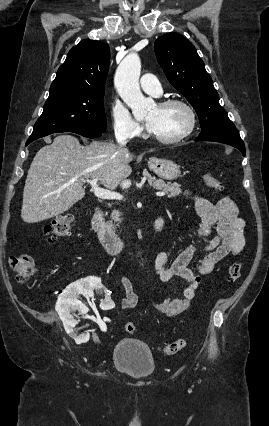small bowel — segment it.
Here are the masks:
<instances>
[{
    "instance_id": "small-bowel-1",
    "label": "small bowel",
    "mask_w": 269,
    "mask_h": 426,
    "mask_svg": "<svg viewBox=\"0 0 269 426\" xmlns=\"http://www.w3.org/2000/svg\"><path fill=\"white\" fill-rule=\"evenodd\" d=\"M186 196L193 201L197 215L201 219L198 236L202 239L212 238L205 246L206 255L196 271L189 267L195 249L192 244L185 247L172 261L165 251L156 255L154 269L161 281L181 277L187 282L180 296L152 302L156 310L168 316L188 312L200 286L201 276L212 273L219 262L226 257L240 254L246 246L244 234L246 223L239 216L238 208L230 198L221 197L212 203L191 192H186ZM120 283L125 293L120 300V307L126 310L136 308L140 300L131 280L128 276L121 275Z\"/></svg>"
}]
</instances>
